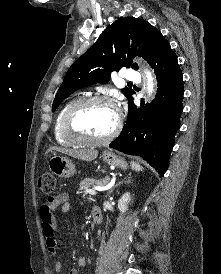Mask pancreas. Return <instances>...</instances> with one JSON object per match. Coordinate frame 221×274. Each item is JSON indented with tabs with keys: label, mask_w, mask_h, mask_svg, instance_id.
<instances>
[{
	"label": "pancreas",
	"mask_w": 221,
	"mask_h": 274,
	"mask_svg": "<svg viewBox=\"0 0 221 274\" xmlns=\"http://www.w3.org/2000/svg\"><path fill=\"white\" fill-rule=\"evenodd\" d=\"M107 182V179H93V178H85L80 182L79 190H87L92 185H104Z\"/></svg>",
	"instance_id": "pancreas-1"
}]
</instances>
